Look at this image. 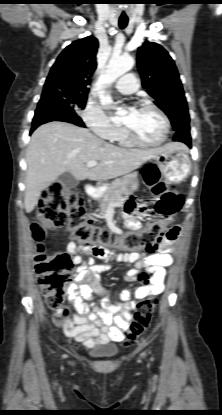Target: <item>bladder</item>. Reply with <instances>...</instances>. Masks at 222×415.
I'll use <instances>...</instances> for the list:
<instances>
[{
  "label": "bladder",
  "instance_id": "bladder-1",
  "mask_svg": "<svg viewBox=\"0 0 222 415\" xmlns=\"http://www.w3.org/2000/svg\"><path fill=\"white\" fill-rule=\"evenodd\" d=\"M89 354L97 358H113L119 354V348L115 345H103L92 348Z\"/></svg>",
  "mask_w": 222,
  "mask_h": 415
}]
</instances>
